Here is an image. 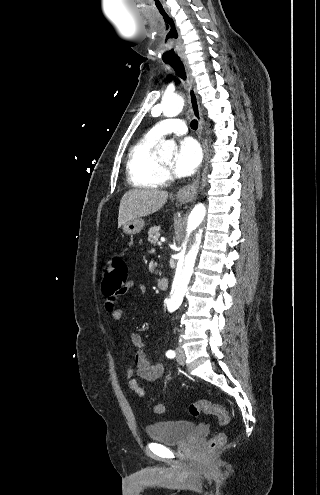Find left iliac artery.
I'll return each mask as SVG.
<instances>
[{
    "label": "left iliac artery",
    "instance_id": "obj_1",
    "mask_svg": "<svg viewBox=\"0 0 320 495\" xmlns=\"http://www.w3.org/2000/svg\"><path fill=\"white\" fill-rule=\"evenodd\" d=\"M166 356H167L168 358H174V357H175V352H174L173 350H168V351L166 352Z\"/></svg>",
    "mask_w": 320,
    "mask_h": 495
}]
</instances>
